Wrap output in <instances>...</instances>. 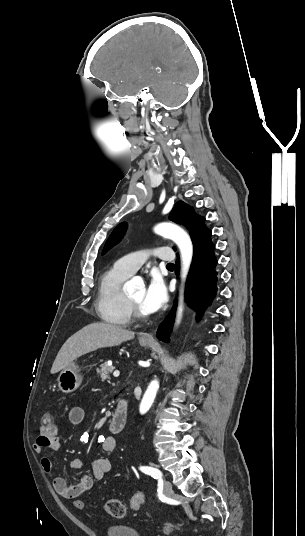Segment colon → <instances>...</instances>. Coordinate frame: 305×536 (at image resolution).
<instances>
[{"label": "colon", "instance_id": "colon-1", "mask_svg": "<svg viewBox=\"0 0 305 536\" xmlns=\"http://www.w3.org/2000/svg\"><path fill=\"white\" fill-rule=\"evenodd\" d=\"M43 426H51L53 418L49 413L44 414L42 418ZM70 503L72 506L77 507L78 511L84 513L87 511V504L81 502L80 498L74 496L71 498ZM146 505V497L142 492H136L131 497L130 507L133 510H140ZM104 510L115 518H123L127 515L126 506L117 498L108 499L105 502Z\"/></svg>", "mask_w": 305, "mask_h": 536}]
</instances>
